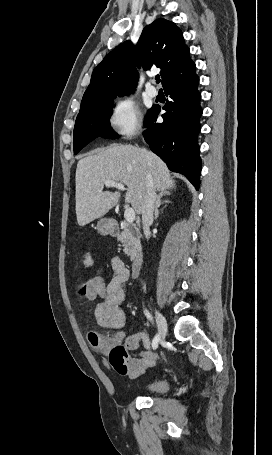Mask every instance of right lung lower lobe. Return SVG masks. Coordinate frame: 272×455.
<instances>
[{"label":"right lung lower lobe","instance_id":"98d812e1","mask_svg":"<svg viewBox=\"0 0 272 455\" xmlns=\"http://www.w3.org/2000/svg\"><path fill=\"white\" fill-rule=\"evenodd\" d=\"M199 78L195 70L164 87L167 101L162 114L163 123H156L160 107H152L145 121L143 136L150 149L156 153L173 172L185 175L199 189L201 159L197 136L200 132L199 119L201 94L198 92Z\"/></svg>","mask_w":272,"mask_h":455}]
</instances>
